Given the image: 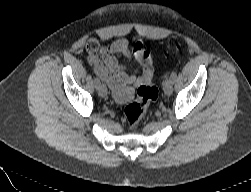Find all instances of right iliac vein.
<instances>
[{"instance_id":"63e3f726","label":"right iliac vein","mask_w":251,"mask_h":192,"mask_svg":"<svg viewBox=\"0 0 251 192\" xmlns=\"http://www.w3.org/2000/svg\"><path fill=\"white\" fill-rule=\"evenodd\" d=\"M97 92L101 97H105L107 95V88L104 84H100L97 87Z\"/></svg>"}]
</instances>
